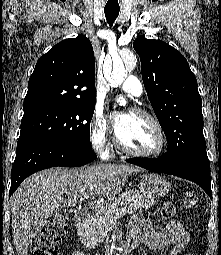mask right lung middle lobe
Wrapping results in <instances>:
<instances>
[{"mask_svg": "<svg viewBox=\"0 0 221 255\" xmlns=\"http://www.w3.org/2000/svg\"><path fill=\"white\" fill-rule=\"evenodd\" d=\"M94 109L95 104H78L26 110L20 138L31 137L90 149V122Z\"/></svg>", "mask_w": 221, "mask_h": 255, "instance_id": "1", "label": "right lung middle lobe"}]
</instances>
